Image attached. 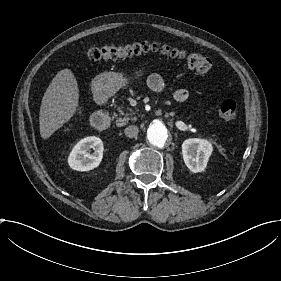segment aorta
I'll list each match as a JSON object with an SVG mask.
<instances>
[{"label": "aorta", "mask_w": 281, "mask_h": 281, "mask_svg": "<svg viewBox=\"0 0 281 281\" xmlns=\"http://www.w3.org/2000/svg\"><path fill=\"white\" fill-rule=\"evenodd\" d=\"M147 139L155 147L162 148L169 140V131L160 120L153 121L147 130Z\"/></svg>", "instance_id": "aorta-1"}]
</instances>
